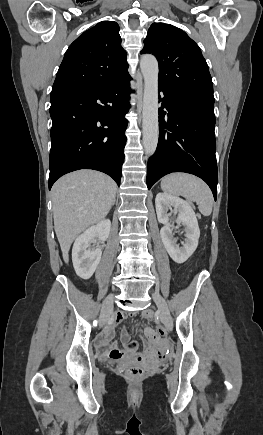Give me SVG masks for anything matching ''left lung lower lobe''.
Here are the masks:
<instances>
[{"mask_svg":"<svg viewBox=\"0 0 263 435\" xmlns=\"http://www.w3.org/2000/svg\"><path fill=\"white\" fill-rule=\"evenodd\" d=\"M159 141L147 165V187L172 172L203 179L217 196L214 102L188 96L159 85ZM161 101V97L159 95ZM166 108L168 113L163 109Z\"/></svg>","mask_w":263,"mask_h":435,"instance_id":"1","label":"left lung lower lobe"}]
</instances>
